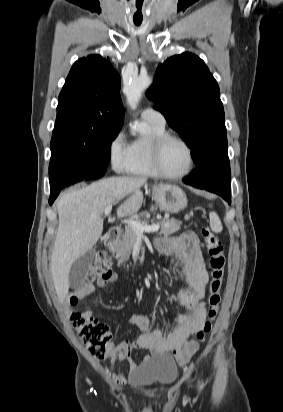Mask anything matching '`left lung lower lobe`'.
<instances>
[{
  "instance_id": "1",
  "label": "left lung lower lobe",
  "mask_w": 283,
  "mask_h": 412,
  "mask_svg": "<svg viewBox=\"0 0 283 412\" xmlns=\"http://www.w3.org/2000/svg\"><path fill=\"white\" fill-rule=\"evenodd\" d=\"M198 168L184 180L186 184L220 195L231 203V171L229 159L217 149L210 161L196 164Z\"/></svg>"
}]
</instances>
